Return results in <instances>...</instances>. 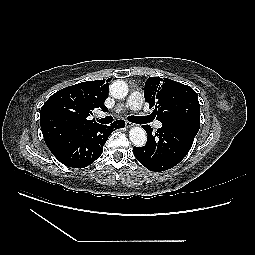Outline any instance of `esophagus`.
<instances>
[{"mask_svg":"<svg viewBox=\"0 0 255 255\" xmlns=\"http://www.w3.org/2000/svg\"><path fill=\"white\" fill-rule=\"evenodd\" d=\"M125 125H126L127 128H131V127H133L135 124L132 123V122L126 121V122H125Z\"/></svg>","mask_w":255,"mask_h":255,"instance_id":"1","label":"esophagus"}]
</instances>
